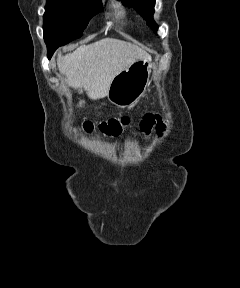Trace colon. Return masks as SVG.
Instances as JSON below:
<instances>
[{
  "instance_id": "obj_1",
  "label": "colon",
  "mask_w": 240,
  "mask_h": 288,
  "mask_svg": "<svg viewBox=\"0 0 240 288\" xmlns=\"http://www.w3.org/2000/svg\"><path fill=\"white\" fill-rule=\"evenodd\" d=\"M129 122L130 120L126 116L120 118H110L108 120L102 121L99 124H94L87 121L83 123L82 129L87 133L99 131L105 136L115 137L123 131V129L129 124Z\"/></svg>"
}]
</instances>
